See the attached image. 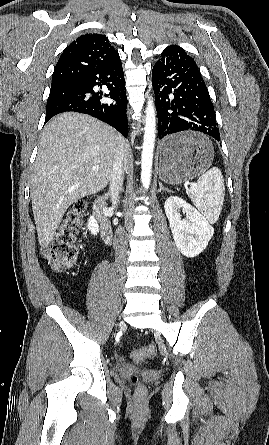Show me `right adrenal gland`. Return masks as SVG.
I'll return each instance as SVG.
<instances>
[{
	"label": "right adrenal gland",
	"mask_w": 269,
	"mask_h": 445,
	"mask_svg": "<svg viewBox=\"0 0 269 445\" xmlns=\"http://www.w3.org/2000/svg\"><path fill=\"white\" fill-rule=\"evenodd\" d=\"M107 195L110 196V193L108 192Z\"/></svg>",
	"instance_id": "right-adrenal-gland-1"
}]
</instances>
